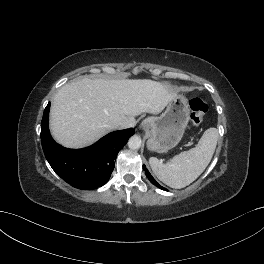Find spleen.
Wrapping results in <instances>:
<instances>
[{
	"mask_svg": "<svg viewBox=\"0 0 264 264\" xmlns=\"http://www.w3.org/2000/svg\"><path fill=\"white\" fill-rule=\"evenodd\" d=\"M217 140L218 130L209 128L204 132L195 148L181 152L167 163L151 157L149 164L160 181L172 188H184L195 181L208 166L214 154Z\"/></svg>",
	"mask_w": 264,
	"mask_h": 264,
	"instance_id": "1",
	"label": "spleen"
}]
</instances>
